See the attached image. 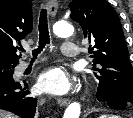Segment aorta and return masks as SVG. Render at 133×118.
I'll list each match as a JSON object with an SVG mask.
<instances>
[{
  "label": "aorta",
  "instance_id": "obj_1",
  "mask_svg": "<svg viewBox=\"0 0 133 118\" xmlns=\"http://www.w3.org/2000/svg\"><path fill=\"white\" fill-rule=\"evenodd\" d=\"M53 32L58 37L67 38L72 36L74 28L67 22H57L53 27ZM81 106L78 102L71 103L65 110L63 118H79Z\"/></svg>",
  "mask_w": 133,
  "mask_h": 118
}]
</instances>
